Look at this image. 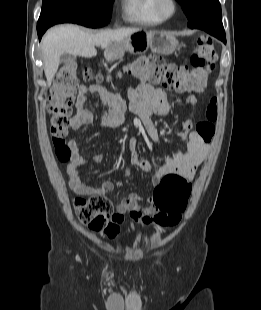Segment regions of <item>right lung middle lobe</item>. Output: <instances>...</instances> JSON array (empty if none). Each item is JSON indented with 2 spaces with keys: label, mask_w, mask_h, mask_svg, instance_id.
Masks as SVG:
<instances>
[{
  "label": "right lung middle lobe",
  "mask_w": 261,
  "mask_h": 310,
  "mask_svg": "<svg viewBox=\"0 0 261 310\" xmlns=\"http://www.w3.org/2000/svg\"><path fill=\"white\" fill-rule=\"evenodd\" d=\"M113 0H43L37 28L72 22L91 28L105 26L111 19Z\"/></svg>",
  "instance_id": "dd1d6c3e"
}]
</instances>
